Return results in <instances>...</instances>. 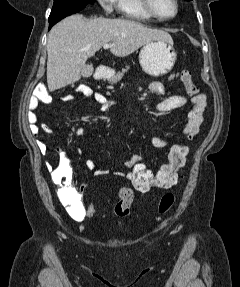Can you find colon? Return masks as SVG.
<instances>
[{"instance_id":"obj_1","label":"colon","mask_w":240,"mask_h":287,"mask_svg":"<svg viewBox=\"0 0 240 287\" xmlns=\"http://www.w3.org/2000/svg\"><path fill=\"white\" fill-rule=\"evenodd\" d=\"M181 81L185 86L187 93L191 96L197 95L198 88L192 80L188 71L181 73ZM37 96L44 100L46 94L42 89L37 91ZM189 148L185 144L174 145L169 151L167 161L158 169L154 170L144 162L140 161L134 164L128 172V181L140 192H146L151 188L166 189L170 188L182 178L181 170L185 164ZM52 179L55 183L63 185L64 190L70 189L71 167L68 161L60 159L58 165L52 171ZM83 189V186L80 187ZM133 202V192L128 187H122L118 191V201L114 205V212L119 218L126 217L130 212ZM175 202V196L172 193L164 194L159 202L158 211L160 214L167 213ZM86 216L92 218L95 213V204L93 200L85 204Z\"/></svg>"}]
</instances>
